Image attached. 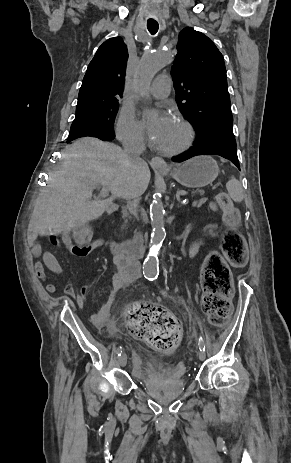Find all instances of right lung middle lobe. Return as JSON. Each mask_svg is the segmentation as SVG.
Segmentation results:
<instances>
[{
  "mask_svg": "<svg viewBox=\"0 0 291 463\" xmlns=\"http://www.w3.org/2000/svg\"><path fill=\"white\" fill-rule=\"evenodd\" d=\"M118 102L106 105L92 112L76 116L68 136L67 142L80 137L115 136L114 121L118 111Z\"/></svg>",
  "mask_w": 291,
  "mask_h": 463,
  "instance_id": "right-lung-middle-lobe-1",
  "label": "right lung middle lobe"
}]
</instances>
